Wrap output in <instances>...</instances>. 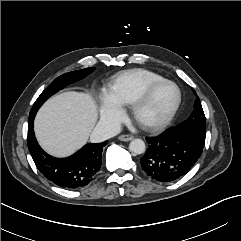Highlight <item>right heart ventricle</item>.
I'll list each match as a JSON object with an SVG mask.
<instances>
[{
	"label": "right heart ventricle",
	"mask_w": 241,
	"mask_h": 241,
	"mask_svg": "<svg viewBox=\"0 0 241 241\" xmlns=\"http://www.w3.org/2000/svg\"><path fill=\"white\" fill-rule=\"evenodd\" d=\"M162 79H164L163 76L150 70H127L115 76L111 91L121 106H131L150 84Z\"/></svg>",
	"instance_id": "right-heart-ventricle-1"
}]
</instances>
